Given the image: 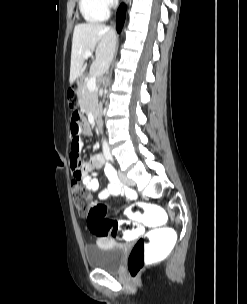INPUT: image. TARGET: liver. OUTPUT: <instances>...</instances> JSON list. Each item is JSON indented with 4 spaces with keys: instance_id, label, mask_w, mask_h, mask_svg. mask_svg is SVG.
Listing matches in <instances>:
<instances>
[{
    "instance_id": "6515ba94",
    "label": "liver",
    "mask_w": 247,
    "mask_h": 304,
    "mask_svg": "<svg viewBox=\"0 0 247 304\" xmlns=\"http://www.w3.org/2000/svg\"><path fill=\"white\" fill-rule=\"evenodd\" d=\"M117 36L114 29L98 23H82L74 28L69 82L73 83L84 70V54L95 51L90 74L101 77L108 69L115 53Z\"/></svg>"
}]
</instances>
